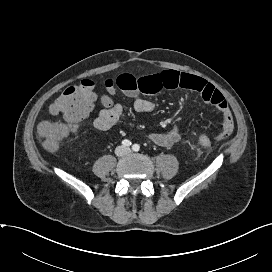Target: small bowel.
Segmentation results:
<instances>
[{
    "label": "small bowel",
    "mask_w": 272,
    "mask_h": 272,
    "mask_svg": "<svg viewBox=\"0 0 272 272\" xmlns=\"http://www.w3.org/2000/svg\"><path fill=\"white\" fill-rule=\"evenodd\" d=\"M115 86L133 99V107L139 113H150L155 108L153 102L141 98L140 94H155L163 89L190 90L198 94L205 103L213 105L221 112L222 123L217 134L219 139L227 138L233 131V117L224 96L212 84L197 76L174 70H165L140 77L123 73L115 79ZM122 115V105L112 102L98 112L93 126L97 130H108L120 121ZM148 137L154 144L169 148L181 140L182 133L180 126L177 125L164 133H150Z\"/></svg>",
    "instance_id": "small-bowel-1"
}]
</instances>
